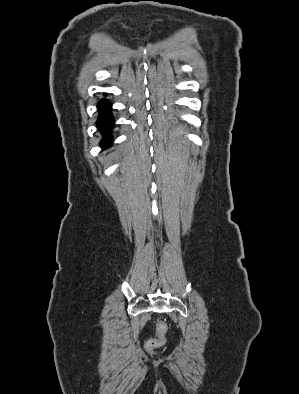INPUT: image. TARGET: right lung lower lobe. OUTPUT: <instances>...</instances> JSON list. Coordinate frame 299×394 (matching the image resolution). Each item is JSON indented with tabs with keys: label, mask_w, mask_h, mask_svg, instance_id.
<instances>
[{
	"label": "right lung lower lobe",
	"mask_w": 299,
	"mask_h": 394,
	"mask_svg": "<svg viewBox=\"0 0 299 394\" xmlns=\"http://www.w3.org/2000/svg\"><path fill=\"white\" fill-rule=\"evenodd\" d=\"M99 117L97 120L98 128L105 133V136L101 142L102 146H106L111 143L112 137L110 136V130L113 126L114 119L111 114V104L106 100H101L98 103Z\"/></svg>",
	"instance_id": "98d812e1"
}]
</instances>
